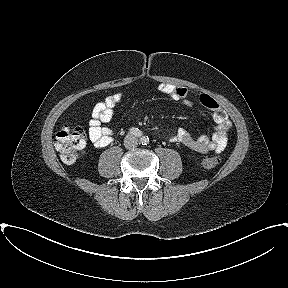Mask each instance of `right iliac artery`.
<instances>
[{
    "label": "right iliac artery",
    "instance_id": "1",
    "mask_svg": "<svg viewBox=\"0 0 288 288\" xmlns=\"http://www.w3.org/2000/svg\"><path fill=\"white\" fill-rule=\"evenodd\" d=\"M129 132L136 137H140L142 135V132L138 128H131Z\"/></svg>",
    "mask_w": 288,
    "mask_h": 288
}]
</instances>
